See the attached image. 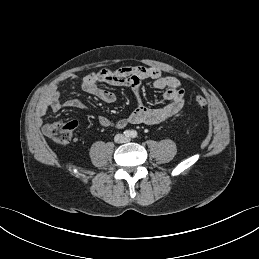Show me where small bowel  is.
<instances>
[{"instance_id": "obj_1", "label": "small bowel", "mask_w": 259, "mask_h": 259, "mask_svg": "<svg viewBox=\"0 0 259 259\" xmlns=\"http://www.w3.org/2000/svg\"><path fill=\"white\" fill-rule=\"evenodd\" d=\"M75 79L79 82L81 89L96 96L105 103H113L116 100L114 92L101 87V84L111 86L129 87L135 99L134 109L125 117L112 121L105 116H99L98 122L102 127H115L122 129L129 124L158 125L175 116L184 106L185 94L180 82L173 76L163 75L162 72L152 66H123L117 70L101 69L84 76L68 75L63 80ZM149 79L152 87L163 91V97L169 101L161 108H148L143 105L141 98V82ZM64 107L88 111L89 107L78 99L61 100L58 87L49 90L46 98L37 110L36 126L42 127L43 117L49 110L58 111Z\"/></svg>"}]
</instances>
